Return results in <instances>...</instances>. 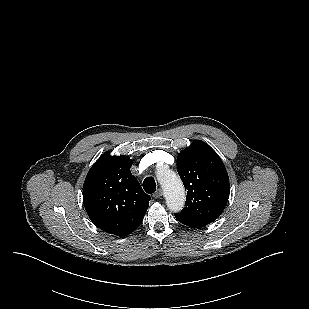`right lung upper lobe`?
I'll use <instances>...</instances> for the list:
<instances>
[{"mask_svg":"<svg viewBox=\"0 0 309 309\" xmlns=\"http://www.w3.org/2000/svg\"><path fill=\"white\" fill-rule=\"evenodd\" d=\"M127 156L104 153L83 185V201L91 221L117 236L131 234L141 224L151 199L131 174Z\"/></svg>","mask_w":309,"mask_h":309,"instance_id":"right-lung-upper-lobe-1","label":"right lung upper lobe"}]
</instances>
